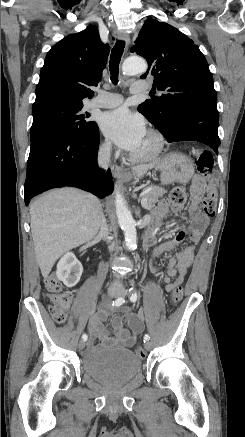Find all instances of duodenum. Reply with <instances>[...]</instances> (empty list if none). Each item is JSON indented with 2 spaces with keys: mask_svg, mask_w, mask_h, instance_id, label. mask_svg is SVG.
<instances>
[{
  "mask_svg": "<svg viewBox=\"0 0 245 437\" xmlns=\"http://www.w3.org/2000/svg\"><path fill=\"white\" fill-rule=\"evenodd\" d=\"M153 239H154V234H153V232H152L150 229L147 230L146 233H145V236H144V242H145V245H146L147 247H149V246L152 244Z\"/></svg>",
  "mask_w": 245,
  "mask_h": 437,
  "instance_id": "410a0bca",
  "label": "duodenum"
}]
</instances>
